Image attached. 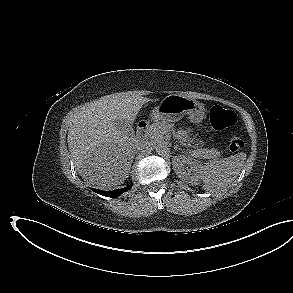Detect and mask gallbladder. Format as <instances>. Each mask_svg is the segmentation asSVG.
Segmentation results:
<instances>
[{
    "label": "gallbladder",
    "instance_id": "obj_1",
    "mask_svg": "<svg viewBox=\"0 0 293 293\" xmlns=\"http://www.w3.org/2000/svg\"><path fill=\"white\" fill-rule=\"evenodd\" d=\"M117 130L122 131L124 134L133 136V128L124 120H116L114 123Z\"/></svg>",
    "mask_w": 293,
    "mask_h": 293
}]
</instances>
